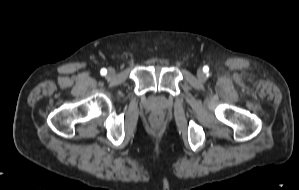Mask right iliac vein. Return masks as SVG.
<instances>
[{"label":"right iliac vein","mask_w":299,"mask_h":190,"mask_svg":"<svg viewBox=\"0 0 299 190\" xmlns=\"http://www.w3.org/2000/svg\"><path fill=\"white\" fill-rule=\"evenodd\" d=\"M115 75V70L113 69V68H110L109 70H108V76L109 77H113Z\"/></svg>","instance_id":"right-iliac-vein-1"}]
</instances>
